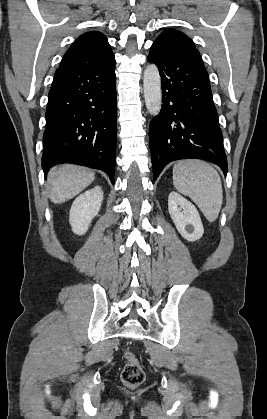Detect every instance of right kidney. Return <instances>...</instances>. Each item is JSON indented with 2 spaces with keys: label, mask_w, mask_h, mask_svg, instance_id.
Returning a JSON list of instances; mask_svg holds the SVG:
<instances>
[{
  "label": "right kidney",
  "mask_w": 267,
  "mask_h": 419,
  "mask_svg": "<svg viewBox=\"0 0 267 419\" xmlns=\"http://www.w3.org/2000/svg\"><path fill=\"white\" fill-rule=\"evenodd\" d=\"M103 201V191L100 186L78 196L73 202L69 214L72 231L77 235L87 232L93 218L98 214Z\"/></svg>",
  "instance_id": "1"
}]
</instances>
